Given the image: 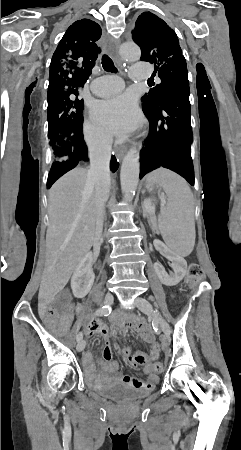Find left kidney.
Segmentation results:
<instances>
[{"mask_svg": "<svg viewBox=\"0 0 241 450\" xmlns=\"http://www.w3.org/2000/svg\"><path fill=\"white\" fill-rule=\"evenodd\" d=\"M153 246H155L156 250L160 252V254H163L167 260H170L172 262L171 266L173 268V272H170V274H167L165 272V268H163L162 264H159V262H156L154 264V270L161 282V284H165V286H176V284H179L181 280H183L186 270H187V262L184 260V258H181V256H176L174 252H171L163 242H160V240H154Z\"/></svg>", "mask_w": 241, "mask_h": 450, "instance_id": "5707ae66", "label": "left kidney"}]
</instances>
